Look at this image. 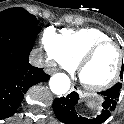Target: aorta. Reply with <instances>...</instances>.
Listing matches in <instances>:
<instances>
[{
    "mask_svg": "<svg viewBox=\"0 0 124 124\" xmlns=\"http://www.w3.org/2000/svg\"><path fill=\"white\" fill-rule=\"evenodd\" d=\"M50 90L56 95L67 93L70 88V79L64 73L53 75L49 81Z\"/></svg>",
    "mask_w": 124,
    "mask_h": 124,
    "instance_id": "obj_1",
    "label": "aorta"
}]
</instances>
